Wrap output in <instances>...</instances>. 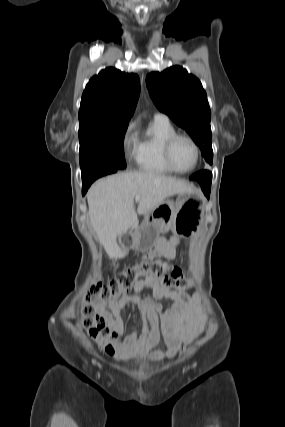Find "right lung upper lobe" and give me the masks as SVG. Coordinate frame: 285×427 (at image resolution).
I'll return each instance as SVG.
<instances>
[{"label": "right lung upper lobe", "mask_w": 285, "mask_h": 427, "mask_svg": "<svg viewBox=\"0 0 285 427\" xmlns=\"http://www.w3.org/2000/svg\"><path fill=\"white\" fill-rule=\"evenodd\" d=\"M140 93L139 77L115 68L93 76L82 95L79 121H128Z\"/></svg>", "instance_id": "right-lung-upper-lobe-1"}]
</instances>
